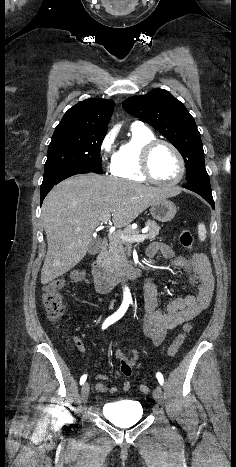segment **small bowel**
<instances>
[{"label":"small bowel","mask_w":236,"mask_h":467,"mask_svg":"<svg viewBox=\"0 0 236 467\" xmlns=\"http://www.w3.org/2000/svg\"><path fill=\"white\" fill-rule=\"evenodd\" d=\"M157 254H161L172 267L185 271L191 285L195 288V292L168 302L165 311H160L157 309L156 285L151 278L147 279L144 286L145 314L141 320V329L154 345L161 344L167 333L206 310L212 301L214 291V277L209 260L204 254L194 253L191 256H177L167 244L154 241L148 246L145 255L147 259L152 260ZM77 348L80 351L85 350L84 345L79 340H77ZM115 358L119 362V373L130 377L133 367L140 358V351L131 349L125 353L116 350ZM97 379L100 381L96 385L98 392L114 394L118 391L117 387L103 383L107 379L105 374H99ZM121 389L129 391L131 389L130 381L125 380Z\"/></svg>","instance_id":"small-bowel-1"}]
</instances>
